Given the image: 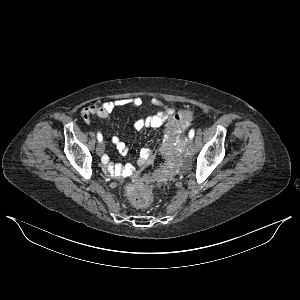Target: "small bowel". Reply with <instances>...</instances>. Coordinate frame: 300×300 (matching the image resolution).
<instances>
[{
    "label": "small bowel",
    "instance_id": "small-bowel-1",
    "mask_svg": "<svg viewBox=\"0 0 300 300\" xmlns=\"http://www.w3.org/2000/svg\"><path fill=\"white\" fill-rule=\"evenodd\" d=\"M152 103L159 107V111L149 117L138 119L134 122L133 127L139 131L146 127L159 128L165 124L173 110L167 107L162 101L153 99ZM142 104L140 98H129V99H115L112 101L93 104L87 106L81 110V117L85 123H89L91 117L97 116L103 119H110L111 113L118 107L132 105L139 107ZM113 144L116 149L121 153L125 154L128 151V146L123 141L118 139L113 140ZM154 161V152L151 148L145 147L140 150L137 164L140 167L149 166ZM102 165L104 169L114 177H127L134 173L135 168L130 164H119L110 161L108 156L102 158Z\"/></svg>",
    "mask_w": 300,
    "mask_h": 300
}]
</instances>
